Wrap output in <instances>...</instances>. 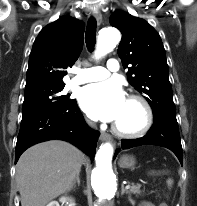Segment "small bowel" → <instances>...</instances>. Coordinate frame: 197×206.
<instances>
[{"label":"small bowel","mask_w":197,"mask_h":206,"mask_svg":"<svg viewBox=\"0 0 197 206\" xmlns=\"http://www.w3.org/2000/svg\"><path fill=\"white\" fill-rule=\"evenodd\" d=\"M143 206H153L152 204H150L149 202H144Z\"/></svg>","instance_id":"1"}]
</instances>
